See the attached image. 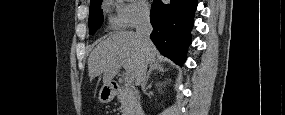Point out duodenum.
<instances>
[{
  "label": "duodenum",
  "mask_w": 285,
  "mask_h": 115,
  "mask_svg": "<svg viewBox=\"0 0 285 115\" xmlns=\"http://www.w3.org/2000/svg\"><path fill=\"white\" fill-rule=\"evenodd\" d=\"M109 87L111 89L117 90L120 88V85L118 83H111Z\"/></svg>",
  "instance_id": "410a0bca"
}]
</instances>
